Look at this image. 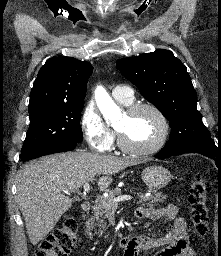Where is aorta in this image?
I'll list each match as a JSON object with an SVG mask.
<instances>
[{
    "instance_id": "762f6f07",
    "label": "aorta",
    "mask_w": 221,
    "mask_h": 256,
    "mask_svg": "<svg viewBox=\"0 0 221 256\" xmlns=\"http://www.w3.org/2000/svg\"><path fill=\"white\" fill-rule=\"evenodd\" d=\"M95 99L98 108L106 120H110L120 113V108L115 104L103 87H97L95 91Z\"/></svg>"
}]
</instances>
